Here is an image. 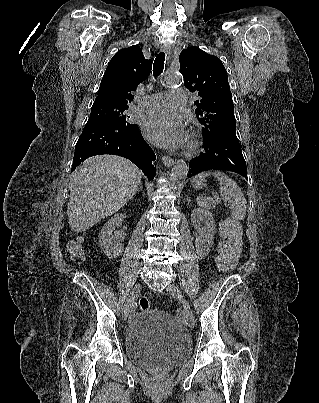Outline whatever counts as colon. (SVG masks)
<instances>
[{
	"mask_svg": "<svg viewBox=\"0 0 319 403\" xmlns=\"http://www.w3.org/2000/svg\"><path fill=\"white\" fill-rule=\"evenodd\" d=\"M222 241L219 244L218 266L222 271L233 269L242 253V229L235 220H226L220 226ZM68 252L71 259L79 263L84 259L83 247L78 240L68 245ZM151 304L148 299L139 300V308L148 311Z\"/></svg>",
	"mask_w": 319,
	"mask_h": 403,
	"instance_id": "obj_1",
	"label": "colon"
}]
</instances>
